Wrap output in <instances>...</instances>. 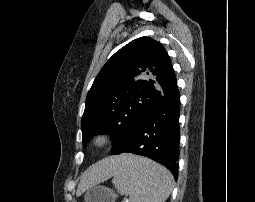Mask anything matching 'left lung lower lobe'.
<instances>
[{
	"label": "left lung lower lobe",
	"instance_id": "1",
	"mask_svg": "<svg viewBox=\"0 0 255 202\" xmlns=\"http://www.w3.org/2000/svg\"><path fill=\"white\" fill-rule=\"evenodd\" d=\"M179 111L180 95L177 89L164 97L147 114L120 153H133L148 157L168 168L177 180Z\"/></svg>",
	"mask_w": 255,
	"mask_h": 202
}]
</instances>
